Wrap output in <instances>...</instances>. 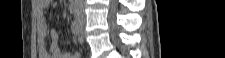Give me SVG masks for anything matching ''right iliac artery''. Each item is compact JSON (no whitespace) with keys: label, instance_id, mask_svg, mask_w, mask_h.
Wrapping results in <instances>:
<instances>
[{"label":"right iliac artery","instance_id":"right-iliac-artery-1","mask_svg":"<svg viewBox=\"0 0 225 58\" xmlns=\"http://www.w3.org/2000/svg\"><path fill=\"white\" fill-rule=\"evenodd\" d=\"M71 30H72V32H73L74 35H76V36L79 35L80 28H79V25H78V23H77L76 20H74L72 22V24H71Z\"/></svg>","mask_w":225,"mask_h":58}]
</instances>
